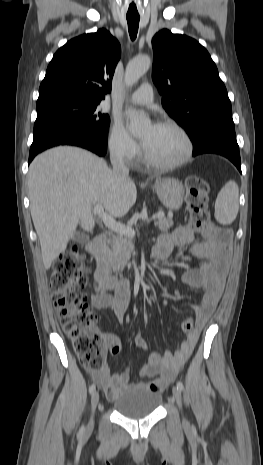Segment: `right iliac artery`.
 Returning <instances> with one entry per match:
<instances>
[{
	"label": "right iliac artery",
	"instance_id": "1",
	"mask_svg": "<svg viewBox=\"0 0 263 465\" xmlns=\"http://www.w3.org/2000/svg\"><path fill=\"white\" fill-rule=\"evenodd\" d=\"M96 387H95V384H92L90 387H89V393L90 394H93V392L95 391ZM83 431H84V427L82 426V428L80 429V435L83 434Z\"/></svg>",
	"mask_w": 263,
	"mask_h": 465
}]
</instances>
